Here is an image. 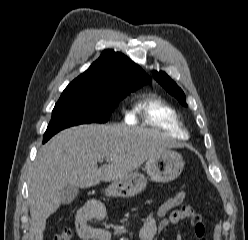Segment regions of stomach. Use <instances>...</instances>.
Instances as JSON below:
<instances>
[{"mask_svg":"<svg viewBox=\"0 0 248 240\" xmlns=\"http://www.w3.org/2000/svg\"><path fill=\"white\" fill-rule=\"evenodd\" d=\"M184 160L180 153L166 150L150 158L145 164L147 175L155 182H169L176 179L182 172ZM146 177L138 172L130 173L127 177L112 181L105 193L110 197H133L146 186Z\"/></svg>","mask_w":248,"mask_h":240,"instance_id":"0dacf381","label":"stomach"}]
</instances>
